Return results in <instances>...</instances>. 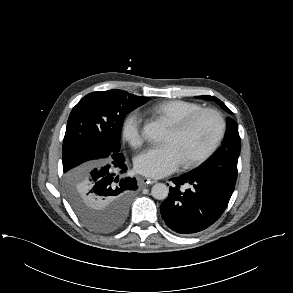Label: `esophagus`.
<instances>
[{"instance_id": "obj_1", "label": "esophagus", "mask_w": 293, "mask_h": 293, "mask_svg": "<svg viewBox=\"0 0 293 293\" xmlns=\"http://www.w3.org/2000/svg\"><path fill=\"white\" fill-rule=\"evenodd\" d=\"M142 182L145 183V185H147V184H149V183H150V184L156 183L157 180L150 179V178H143Z\"/></svg>"}]
</instances>
